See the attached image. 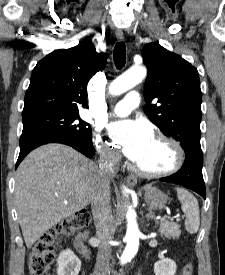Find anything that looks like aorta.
Segmentation results:
<instances>
[{"mask_svg": "<svg viewBox=\"0 0 225 275\" xmlns=\"http://www.w3.org/2000/svg\"><path fill=\"white\" fill-rule=\"evenodd\" d=\"M147 74V70L144 67H132L125 73L117 77L109 86V93L111 95H120L135 85L140 83ZM130 192L125 186H123V194L127 195ZM137 214L132 206L128 207L126 214L127 230H126V242L127 245L121 256V264L129 262L137 253L139 247V227L137 224Z\"/></svg>", "mask_w": 225, "mask_h": 275, "instance_id": "762f6f07", "label": "aorta"}]
</instances>
